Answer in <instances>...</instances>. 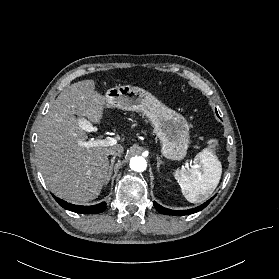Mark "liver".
<instances>
[{"label": "liver", "mask_w": 279, "mask_h": 279, "mask_svg": "<svg viewBox=\"0 0 279 279\" xmlns=\"http://www.w3.org/2000/svg\"><path fill=\"white\" fill-rule=\"evenodd\" d=\"M106 107V98L95 90L94 81L83 80L65 88L44 117L38 129L37 163L57 197L85 203L101 193L108 175L109 152L122 146H81L88 135L80 124H99ZM75 115L88 121L78 120Z\"/></svg>", "instance_id": "liver-1"}]
</instances>
